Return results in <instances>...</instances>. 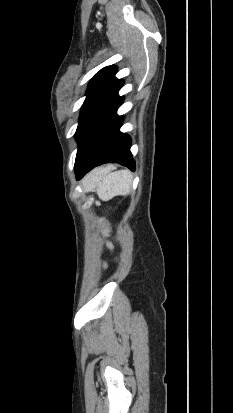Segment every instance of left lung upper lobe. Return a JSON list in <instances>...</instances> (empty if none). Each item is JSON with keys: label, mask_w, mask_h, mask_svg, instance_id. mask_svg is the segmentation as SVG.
I'll return each mask as SVG.
<instances>
[{"label": "left lung upper lobe", "mask_w": 233, "mask_h": 413, "mask_svg": "<svg viewBox=\"0 0 233 413\" xmlns=\"http://www.w3.org/2000/svg\"><path fill=\"white\" fill-rule=\"evenodd\" d=\"M116 70L114 66L105 67L91 79L75 133L79 144L91 122L110 103L122 87L123 81L114 77Z\"/></svg>", "instance_id": "5c2ea615"}]
</instances>
